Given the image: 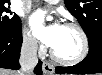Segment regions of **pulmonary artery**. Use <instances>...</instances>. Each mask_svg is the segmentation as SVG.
Instances as JSON below:
<instances>
[{"label":"pulmonary artery","mask_w":102,"mask_h":75,"mask_svg":"<svg viewBox=\"0 0 102 75\" xmlns=\"http://www.w3.org/2000/svg\"><path fill=\"white\" fill-rule=\"evenodd\" d=\"M49 3H53V4H56L58 3L59 1L58 0H48Z\"/></svg>","instance_id":"e3ab8cb5"}]
</instances>
